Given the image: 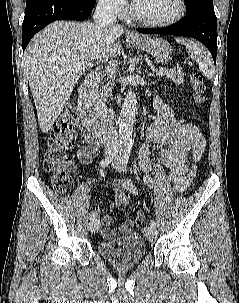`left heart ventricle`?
Returning a JSON list of instances; mask_svg holds the SVG:
<instances>
[{"mask_svg": "<svg viewBox=\"0 0 239 303\" xmlns=\"http://www.w3.org/2000/svg\"><path fill=\"white\" fill-rule=\"evenodd\" d=\"M138 14L150 20H165L178 12V0H138L134 4Z\"/></svg>", "mask_w": 239, "mask_h": 303, "instance_id": "obj_1", "label": "left heart ventricle"}]
</instances>
